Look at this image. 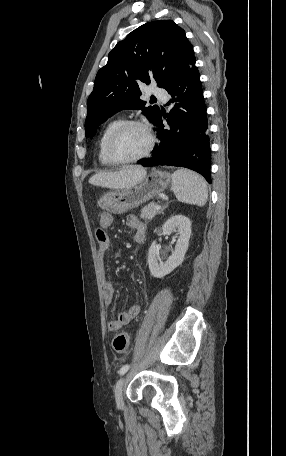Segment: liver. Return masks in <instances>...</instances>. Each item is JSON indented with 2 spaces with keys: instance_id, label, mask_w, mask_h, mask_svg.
Masks as SVG:
<instances>
[{
  "instance_id": "obj_1",
  "label": "liver",
  "mask_w": 286,
  "mask_h": 456,
  "mask_svg": "<svg viewBox=\"0 0 286 456\" xmlns=\"http://www.w3.org/2000/svg\"><path fill=\"white\" fill-rule=\"evenodd\" d=\"M146 169L140 166H127L115 172H98L90 177L89 183L110 189L130 188L146 177Z\"/></svg>"
}]
</instances>
